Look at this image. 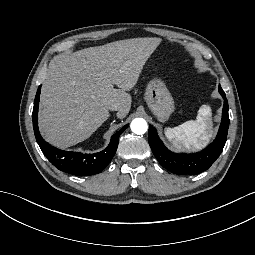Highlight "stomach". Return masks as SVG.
I'll return each mask as SVG.
<instances>
[{"mask_svg": "<svg viewBox=\"0 0 255 255\" xmlns=\"http://www.w3.org/2000/svg\"><path fill=\"white\" fill-rule=\"evenodd\" d=\"M145 101L159 121H167L174 111V100L166 84L160 78H153L147 84Z\"/></svg>", "mask_w": 255, "mask_h": 255, "instance_id": "0dacf381", "label": "stomach"}]
</instances>
